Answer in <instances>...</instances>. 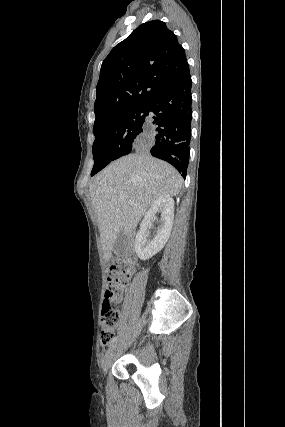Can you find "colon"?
<instances>
[{"label": "colon", "instance_id": "colon-1", "mask_svg": "<svg viewBox=\"0 0 285 427\" xmlns=\"http://www.w3.org/2000/svg\"><path fill=\"white\" fill-rule=\"evenodd\" d=\"M134 271L131 259L125 257L116 258L110 269L102 305V331L103 343L111 340L115 328L120 320L118 305L123 299V293Z\"/></svg>", "mask_w": 285, "mask_h": 427}]
</instances>
